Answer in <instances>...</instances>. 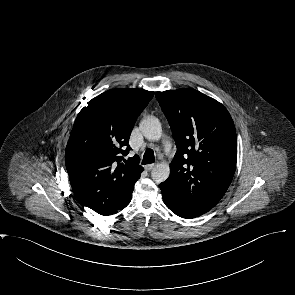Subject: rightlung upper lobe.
Returning <instances> with one entry per match:
<instances>
[{"instance_id":"right-lung-upper-lobe-1","label":"right lung upper lobe","mask_w":295,"mask_h":295,"mask_svg":"<svg viewBox=\"0 0 295 295\" xmlns=\"http://www.w3.org/2000/svg\"><path fill=\"white\" fill-rule=\"evenodd\" d=\"M154 92L116 88L89 101L78 114L65 150L72 190L79 201L106 215L134 189L143 167L129 153L135 121ZM125 162V163H124Z\"/></svg>"}]
</instances>
